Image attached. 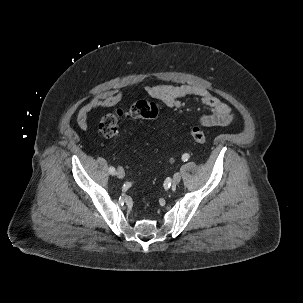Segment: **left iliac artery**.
<instances>
[{"instance_id":"1","label":"left iliac artery","mask_w":303,"mask_h":303,"mask_svg":"<svg viewBox=\"0 0 303 303\" xmlns=\"http://www.w3.org/2000/svg\"><path fill=\"white\" fill-rule=\"evenodd\" d=\"M190 158L189 154L185 153L182 155V160L185 162V161H188Z\"/></svg>"}]
</instances>
